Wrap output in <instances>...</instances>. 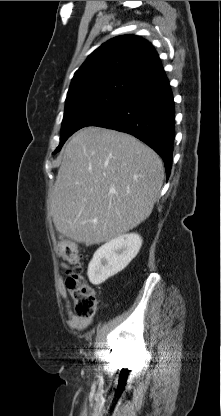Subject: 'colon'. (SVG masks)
<instances>
[{
	"label": "colon",
	"instance_id": "colon-1",
	"mask_svg": "<svg viewBox=\"0 0 221 416\" xmlns=\"http://www.w3.org/2000/svg\"><path fill=\"white\" fill-rule=\"evenodd\" d=\"M57 253L72 266L66 287L73 301L74 314L80 318L92 317L96 311L97 297L95 291L84 281L79 247L70 239L61 238L57 244Z\"/></svg>",
	"mask_w": 221,
	"mask_h": 416
}]
</instances>
